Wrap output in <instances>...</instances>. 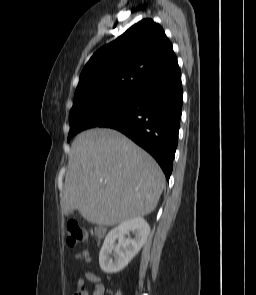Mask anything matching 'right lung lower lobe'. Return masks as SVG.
I'll use <instances>...</instances> for the list:
<instances>
[{
    "label": "right lung lower lobe",
    "instance_id": "98d812e1",
    "mask_svg": "<svg viewBox=\"0 0 256 295\" xmlns=\"http://www.w3.org/2000/svg\"><path fill=\"white\" fill-rule=\"evenodd\" d=\"M181 72L176 56L135 92L131 107L106 120L88 118L91 127L116 129L149 152L169 180L178 143L182 108Z\"/></svg>",
    "mask_w": 256,
    "mask_h": 295
}]
</instances>
